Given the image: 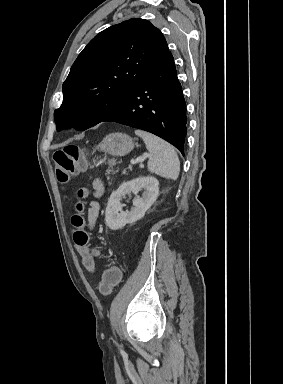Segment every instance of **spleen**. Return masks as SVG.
I'll return each instance as SVG.
<instances>
[{"label": "spleen", "mask_w": 283, "mask_h": 384, "mask_svg": "<svg viewBox=\"0 0 283 384\" xmlns=\"http://www.w3.org/2000/svg\"><path fill=\"white\" fill-rule=\"evenodd\" d=\"M135 134L142 138L148 152L153 154L152 158L148 160V172L157 174L161 178H168V180H177L180 162L173 146L148 132L136 130Z\"/></svg>", "instance_id": "1"}]
</instances>
